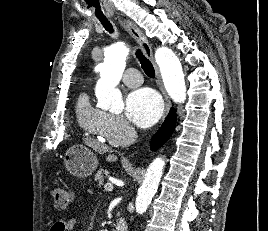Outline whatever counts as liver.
Returning a JSON list of instances; mask_svg holds the SVG:
<instances>
[{
	"mask_svg": "<svg viewBox=\"0 0 268 231\" xmlns=\"http://www.w3.org/2000/svg\"><path fill=\"white\" fill-rule=\"evenodd\" d=\"M85 144L88 145L89 147H91L93 150L103 154V153H106L109 151V148L104 145V144H101L100 142L98 141H95V140H92V139H85L84 140ZM117 156H115L114 154H109L107 157H106V160L108 162H115L117 161Z\"/></svg>",
	"mask_w": 268,
	"mask_h": 231,
	"instance_id": "1",
	"label": "liver"
}]
</instances>
